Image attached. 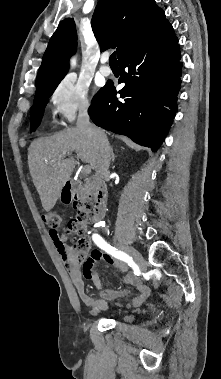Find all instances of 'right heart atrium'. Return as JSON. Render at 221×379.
Segmentation results:
<instances>
[{"label":"right heart atrium","instance_id":"1","mask_svg":"<svg viewBox=\"0 0 221 379\" xmlns=\"http://www.w3.org/2000/svg\"><path fill=\"white\" fill-rule=\"evenodd\" d=\"M49 102L56 118L69 124L89 110V87L75 77H65L50 92Z\"/></svg>","mask_w":221,"mask_h":379}]
</instances>
